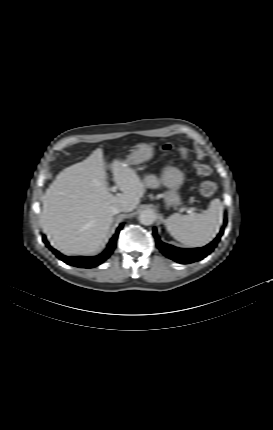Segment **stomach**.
I'll list each match as a JSON object with an SVG mask.
<instances>
[{
    "label": "stomach",
    "instance_id": "obj_1",
    "mask_svg": "<svg viewBox=\"0 0 273 430\" xmlns=\"http://www.w3.org/2000/svg\"><path fill=\"white\" fill-rule=\"evenodd\" d=\"M154 154V148L148 143H141L137 149L128 156L126 163L136 165L148 161ZM185 174L182 170L173 166H166L162 173L161 182L168 188L164 194V200L169 206H178L181 204V199L178 190L184 183Z\"/></svg>",
    "mask_w": 273,
    "mask_h": 430
}]
</instances>
